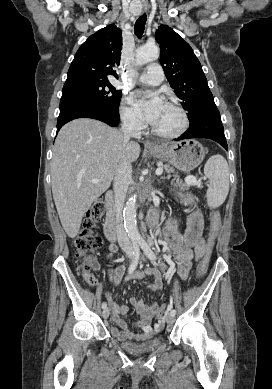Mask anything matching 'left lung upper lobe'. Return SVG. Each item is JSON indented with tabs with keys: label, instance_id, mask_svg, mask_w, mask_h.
<instances>
[{
	"label": "left lung upper lobe",
	"instance_id": "left-lung-upper-lobe-1",
	"mask_svg": "<svg viewBox=\"0 0 272 389\" xmlns=\"http://www.w3.org/2000/svg\"><path fill=\"white\" fill-rule=\"evenodd\" d=\"M160 44V63L171 87L182 100L188 118L198 114L205 106L214 103L201 64L190 45L166 25L155 33Z\"/></svg>",
	"mask_w": 272,
	"mask_h": 389
}]
</instances>
